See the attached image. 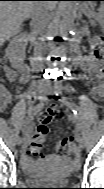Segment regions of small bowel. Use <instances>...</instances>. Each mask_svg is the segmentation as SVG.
I'll list each match as a JSON object with an SVG mask.
<instances>
[{
	"instance_id": "c3829d8e",
	"label": "small bowel",
	"mask_w": 104,
	"mask_h": 189,
	"mask_svg": "<svg viewBox=\"0 0 104 189\" xmlns=\"http://www.w3.org/2000/svg\"><path fill=\"white\" fill-rule=\"evenodd\" d=\"M81 70L91 76L89 79V84L95 94L101 95L103 93V87L99 83V75L95 74V71L98 70L100 67L99 65L94 62L92 59H83L80 64ZM6 79L9 82H14L19 80L22 83H26L30 79L29 69L26 66H22L17 69L6 68ZM12 102V95L10 91L5 87H0V104L1 108H7ZM23 132L25 136V144L23 145L21 151V160L24 164H30V157H29V148H30V141L32 137V127L31 125H25L23 127Z\"/></svg>"
}]
</instances>
